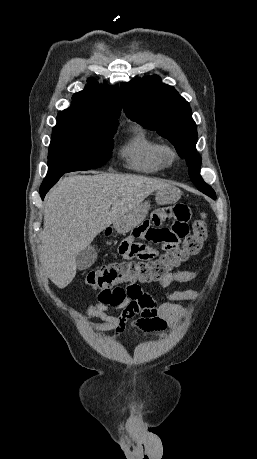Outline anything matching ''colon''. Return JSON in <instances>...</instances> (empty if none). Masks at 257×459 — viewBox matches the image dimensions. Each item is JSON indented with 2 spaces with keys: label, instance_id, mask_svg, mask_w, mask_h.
<instances>
[{
  "label": "colon",
  "instance_id": "1",
  "mask_svg": "<svg viewBox=\"0 0 257 459\" xmlns=\"http://www.w3.org/2000/svg\"><path fill=\"white\" fill-rule=\"evenodd\" d=\"M192 227L196 228V235L187 236L181 251H164L157 261H147L146 264H119L117 261L88 270L85 274L86 283L94 288H106L114 284L159 278L173 265L196 254L206 241L208 228L204 214L193 222Z\"/></svg>",
  "mask_w": 257,
  "mask_h": 459
}]
</instances>
